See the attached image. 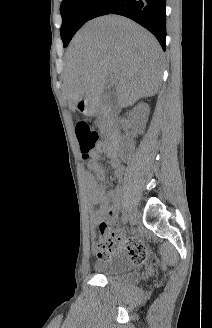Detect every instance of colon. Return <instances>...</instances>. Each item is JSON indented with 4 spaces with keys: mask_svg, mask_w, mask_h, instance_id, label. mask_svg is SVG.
<instances>
[{
    "mask_svg": "<svg viewBox=\"0 0 212 328\" xmlns=\"http://www.w3.org/2000/svg\"><path fill=\"white\" fill-rule=\"evenodd\" d=\"M75 134L79 143L80 152L84 160L90 159L97 148L98 135L85 121H79L75 126ZM119 240V233L114 232L107 223L100 225V238L97 243V253L102 259L110 258ZM145 251L139 255L136 262L145 259Z\"/></svg>",
    "mask_w": 212,
    "mask_h": 328,
    "instance_id": "1",
    "label": "colon"
}]
</instances>
